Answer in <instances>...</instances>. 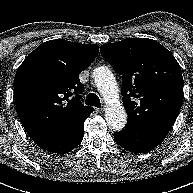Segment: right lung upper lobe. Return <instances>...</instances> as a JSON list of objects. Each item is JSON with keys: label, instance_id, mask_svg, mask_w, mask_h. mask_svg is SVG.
I'll return each mask as SVG.
<instances>
[{"label": "right lung upper lobe", "instance_id": "cb5924a9", "mask_svg": "<svg viewBox=\"0 0 193 193\" xmlns=\"http://www.w3.org/2000/svg\"><path fill=\"white\" fill-rule=\"evenodd\" d=\"M97 44L50 40L32 51L17 69L14 99L22 126L29 134L60 130L91 114L80 94L79 74L96 58Z\"/></svg>", "mask_w": 193, "mask_h": 193}]
</instances>
